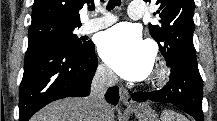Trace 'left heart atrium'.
<instances>
[{"label":"left heart atrium","mask_w":217,"mask_h":121,"mask_svg":"<svg viewBox=\"0 0 217 121\" xmlns=\"http://www.w3.org/2000/svg\"><path fill=\"white\" fill-rule=\"evenodd\" d=\"M98 49L107 65L125 79L141 80L152 70L153 50L132 26L122 24L104 32Z\"/></svg>","instance_id":"left-heart-atrium-1"}]
</instances>
